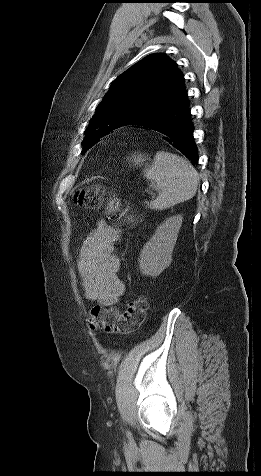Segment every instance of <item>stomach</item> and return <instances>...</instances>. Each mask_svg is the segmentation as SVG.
Here are the masks:
<instances>
[{
    "label": "stomach",
    "instance_id": "1",
    "mask_svg": "<svg viewBox=\"0 0 261 476\" xmlns=\"http://www.w3.org/2000/svg\"><path fill=\"white\" fill-rule=\"evenodd\" d=\"M131 162L134 164V165H140V164H143L145 161H146V158L139 154V153H134L131 158H130Z\"/></svg>",
    "mask_w": 261,
    "mask_h": 476
}]
</instances>
